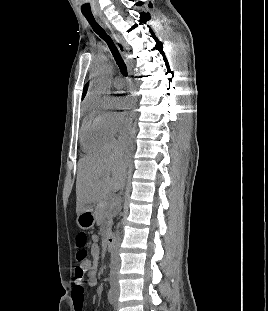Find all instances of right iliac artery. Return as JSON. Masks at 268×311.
Instances as JSON below:
<instances>
[{"label":"right iliac artery","instance_id":"obj_1","mask_svg":"<svg viewBox=\"0 0 268 311\" xmlns=\"http://www.w3.org/2000/svg\"><path fill=\"white\" fill-rule=\"evenodd\" d=\"M107 297H108V301L111 305L114 304L115 302V297H114V290L113 288H110L109 291H108V294H107Z\"/></svg>","mask_w":268,"mask_h":311}]
</instances>
